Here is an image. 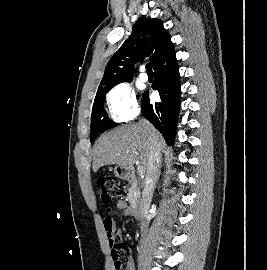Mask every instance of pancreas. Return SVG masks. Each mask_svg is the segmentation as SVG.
Listing matches in <instances>:
<instances>
[{
    "label": "pancreas",
    "instance_id": "obj_1",
    "mask_svg": "<svg viewBox=\"0 0 267 270\" xmlns=\"http://www.w3.org/2000/svg\"><path fill=\"white\" fill-rule=\"evenodd\" d=\"M127 199L131 205H136L140 199V187L136 179L130 182V188L128 190Z\"/></svg>",
    "mask_w": 267,
    "mask_h": 270
}]
</instances>
